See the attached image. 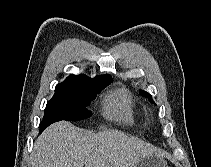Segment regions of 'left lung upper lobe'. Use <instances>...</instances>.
<instances>
[{"label":"left lung upper lobe","instance_id":"1","mask_svg":"<svg viewBox=\"0 0 211 167\" xmlns=\"http://www.w3.org/2000/svg\"><path fill=\"white\" fill-rule=\"evenodd\" d=\"M140 94H142L143 96L149 97L150 100L153 102L152 96H151L150 94H148L147 92H145V91H140Z\"/></svg>","mask_w":211,"mask_h":167}]
</instances>
